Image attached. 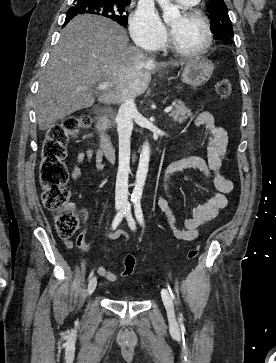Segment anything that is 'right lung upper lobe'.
Segmentation results:
<instances>
[{"instance_id": "1", "label": "right lung upper lobe", "mask_w": 276, "mask_h": 363, "mask_svg": "<svg viewBox=\"0 0 276 363\" xmlns=\"http://www.w3.org/2000/svg\"><path fill=\"white\" fill-rule=\"evenodd\" d=\"M109 1L128 2V3H130L131 0H109Z\"/></svg>"}]
</instances>
